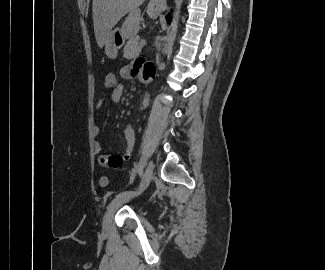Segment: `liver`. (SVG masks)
<instances>
[{
  "label": "liver",
  "instance_id": "liver-1",
  "mask_svg": "<svg viewBox=\"0 0 325 270\" xmlns=\"http://www.w3.org/2000/svg\"><path fill=\"white\" fill-rule=\"evenodd\" d=\"M144 0H93V24L97 44L102 48L109 38L112 28L129 13L121 31L126 38L139 32L142 21L139 6Z\"/></svg>",
  "mask_w": 325,
  "mask_h": 270
}]
</instances>
